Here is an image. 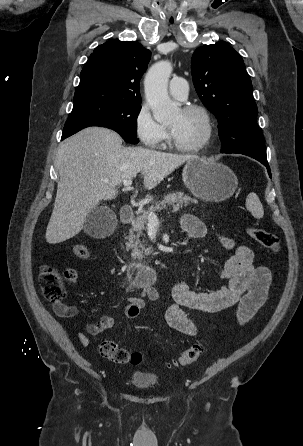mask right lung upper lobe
Returning a JSON list of instances; mask_svg holds the SVG:
<instances>
[{"instance_id": "obj_1", "label": "right lung upper lobe", "mask_w": 303, "mask_h": 446, "mask_svg": "<svg viewBox=\"0 0 303 446\" xmlns=\"http://www.w3.org/2000/svg\"><path fill=\"white\" fill-rule=\"evenodd\" d=\"M151 52L136 41L99 45L81 71L74 107L100 102L140 104V79Z\"/></svg>"}]
</instances>
